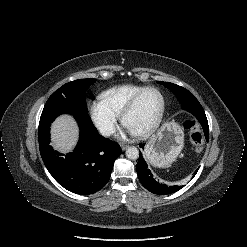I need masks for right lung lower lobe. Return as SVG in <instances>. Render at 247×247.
<instances>
[{
    "label": "right lung lower lobe",
    "mask_w": 247,
    "mask_h": 247,
    "mask_svg": "<svg viewBox=\"0 0 247 247\" xmlns=\"http://www.w3.org/2000/svg\"><path fill=\"white\" fill-rule=\"evenodd\" d=\"M63 113L74 116L80 127V138L74 151L63 155L50 145V125ZM39 148L43 162L53 178L65 189L89 195L109 181L114 161L120 156L117 142L102 137L88 112L65 103H46L39 123Z\"/></svg>",
    "instance_id": "1"
}]
</instances>
